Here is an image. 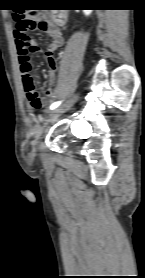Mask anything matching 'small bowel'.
I'll return each mask as SVG.
<instances>
[{
    "label": "small bowel",
    "instance_id": "obj_1",
    "mask_svg": "<svg viewBox=\"0 0 145 278\" xmlns=\"http://www.w3.org/2000/svg\"><path fill=\"white\" fill-rule=\"evenodd\" d=\"M46 33L50 38V43L48 44L46 52H45L47 64L49 67L48 79H49V84H50V87L47 89V95L51 96L52 87L56 83V70H57V62H56V59L54 58V52L64 44V38H63V35H62L59 27L54 24H50L46 28ZM21 35L28 37L25 31ZM15 41H16V45H18L19 40H18L16 34H15ZM33 44L38 48V45H36L34 42H33ZM19 61H20L21 81L24 85V77H25L26 73L22 70V67L24 65L30 63L29 54H19ZM29 72L31 73V67L29 68ZM24 90H25V88H24ZM25 93H26V91H25Z\"/></svg>",
    "mask_w": 145,
    "mask_h": 278
}]
</instances>
